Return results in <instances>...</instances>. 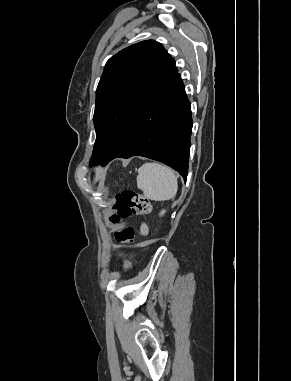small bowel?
Returning <instances> with one entry per match:
<instances>
[{
	"mask_svg": "<svg viewBox=\"0 0 291 381\" xmlns=\"http://www.w3.org/2000/svg\"><path fill=\"white\" fill-rule=\"evenodd\" d=\"M142 233H143V234H146V233H147V229H146V227H143V228H142Z\"/></svg>",
	"mask_w": 291,
	"mask_h": 381,
	"instance_id": "small-bowel-1",
	"label": "small bowel"
}]
</instances>
